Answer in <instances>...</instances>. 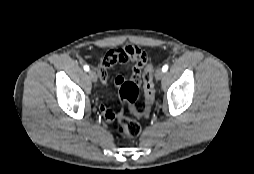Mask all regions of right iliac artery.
Wrapping results in <instances>:
<instances>
[{
  "label": "right iliac artery",
  "mask_w": 254,
  "mask_h": 174,
  "mask_svg": "<svg viewBox=\"0 0 254 174\" xmlns=\"http://www.w3.org/2000/svg\"><path fill=\"white\" fill-rule=\"evenodd\" d=\"M84 70L85 71H89V66L88 65H84Z\"/></svg>",
  "instance_id": "obj_1"
}]
</instances>
